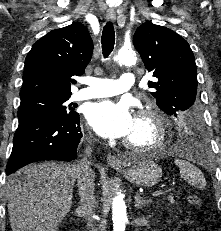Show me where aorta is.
Here are the masks:
<instances>
[{
	"instance_id": "1",
	"label": "aorta",
	"mask_w": 221,
	"mask_h": 231,
	"mask_svg": "<svg viewBox=\"0 0 221 231\" xmlns=\"http://www.w3.org/2000/svg\"><path fill=\"white\" fill-rule=\"evenodd\" d=\"M116 63L123 65L135 64L136 53L131 48H121L113 56ZM113 231H125L127 224L126 204L121 194H117L112 201Z\"/></svg>"
}]
</instances>
